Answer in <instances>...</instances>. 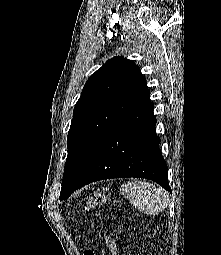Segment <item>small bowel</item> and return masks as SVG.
Instances as JSON below:
<instances>
[{"label":"small bowel","instance_id":"c3829d8e","mask_svg":"<svg viewBox=\"0 0 221 255\" xmlns=\"http://www.w3.org/2000/svg\"><path fill=\"white\" fill-rule=\"evenodd\" d=\"M107 244H108V246H109V248H110V250H111V255H115V253H116V245H115V242H114V240H112L111 238H108L107 239Z\"/></svg>","mask_w":221,"mask_h":255}]
</instances>
